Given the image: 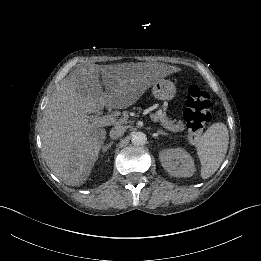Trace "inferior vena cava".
Segmentation results:
<instances>
[{
	"mask_svg": "<svg viewBox=\"0 0 261 261\" xmlns=\"http://www.w3.org/2000/svg\"><path fill=\"white\" fill-rule=\"evenodd\" d=\"M125 131V126H115L110 130L109 136L111 139H117L123 136Z\"/></svg>",
	"mask_w": 261,
	"mask_h": 261,
	"instance_id": "1",
	"label": "inferior vena cava"
}]
</instances>
